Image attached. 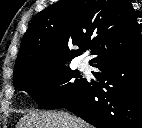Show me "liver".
<instances>
[{"mask_svg": "<svg viewBox=\"0 0 142 128\" xmlns=\"http://www.w3.org/2000/svg\"><path fill=\"white\" fill-rule=\"evenodd\" d=\"M16 128H92L83 119L66 112H35L24 115Z\"/></svg>", "mask_w": 142, "mask_h": 128, "instance_id": "obj_1", "label": "liver"}]
</instances>
